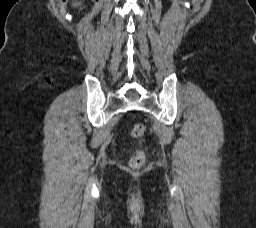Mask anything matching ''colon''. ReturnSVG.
<instances>
[{"mask_svg": "<svg viewBox=\"0 0 256 228\" xmlns=\"http://www.w3.org/2000/svg\"><path fill=\"white\" fill-rule=\"evenodd\" d=\"M144 133V126L141 123H137L133 126L130 136L134 139L140 138ZM145 151L141 148H137L134 155L129 160V165L133 169L140 168L145 162Z\"/></svg>", "mask_w": 256, "mask_h": 228, "instance_id": "obj_1", "label": "colon"}]
</instances>
